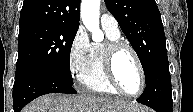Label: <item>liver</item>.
<instances>
[{
    "label": "liver",
    "mask_w": 193,
    "mask_h": 112,
    "mask_svg": "<svg viewBox=\"0 0 193 112\" xmlns=\"http://www.w3.org/2000/svg\"><path fill=\"white\" fill-rule=\"evenodd\" d=\"M139 109L142 108L137 103L108 97L48 94L32 101L22 112H134Z\"/></svg>",
    "instance_id": "liver-1"
}]
</instances>
